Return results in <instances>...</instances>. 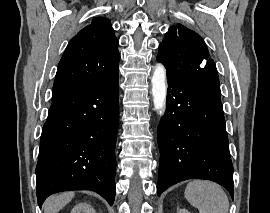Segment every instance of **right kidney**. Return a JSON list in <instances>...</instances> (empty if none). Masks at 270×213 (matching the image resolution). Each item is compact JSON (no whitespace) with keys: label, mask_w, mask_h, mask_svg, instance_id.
<instances>
[{"label":"right kidney","mask_w":270,"mask_h":213,"mask_svg":"<svg viewBox=\"0 0 270 213\" xmlns=\"http://www.w3.org/2000/svg\"><path fill=\"white\" fill-rule=\"evenodd\" d=\"M71 213H96L95 210L87 203H79L71 210Z\"/></svg>","instance_id":"obj_1"}]
</instances>
